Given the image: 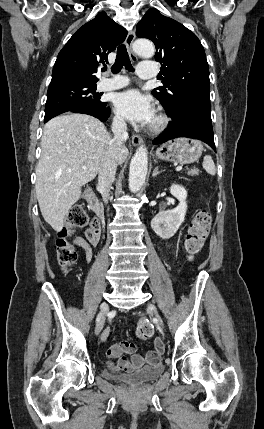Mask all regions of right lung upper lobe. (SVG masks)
<instances>
[{"instance_id": "1", "label": "right lung upper lobe", "mask_w": 264, "mask_h": 429, "mask_svg": "<svg viewBox=\"0 0 264 429\" xmlns=\"http://www.w3.org/2000/svg\"><path fill=\"white\" fill-rule=\"evenodd\" d=\"M127 31L102 11L79 28L58 54L49 88L96 84L97 69L126 38Z\"/></svg>"}]
</instances>
